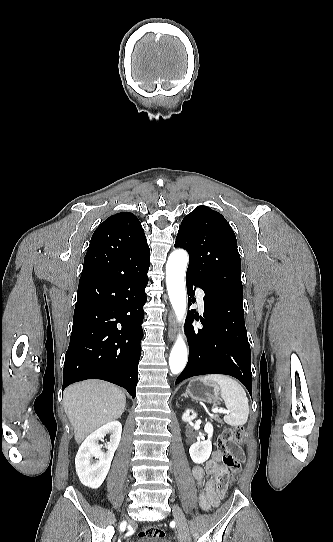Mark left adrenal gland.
<instances>
[{
  "label": "left adrenal gland",
  "instance_id": "obj_1",
  "mask_svg": "<svg viewBox=\"0 0 333 542\" xmlns=\"http://www.w3.org/2000/svg\"><path fill=\"white\" fill-rule=\"evenodd\" d=\"M182 396H184V398H188L187 394H182Z\"/></svg>",
  "mask_w": 333,
  "mask_h": 542
}]
</instances>
